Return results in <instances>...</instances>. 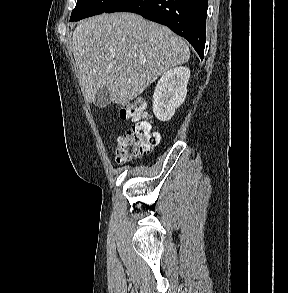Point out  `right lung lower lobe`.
I'll return each instance as SVG.
<instances>
[{
  "mask_svg": "<svg viewBox=\"0 0 288 293\" xmlns=\"http://www.w3.org/2000/svg\"><path fill=\"white\" fill-rule=\"evenodd\" d=\"M208 0H119L106 13L133 12L168 26L204 57Z\"/></svg>",
  "mask_w": 288,
  "mask_h": 293,
  "instance_id": "1",
  "label": "right lung lower lobe"
}]
</instances>
